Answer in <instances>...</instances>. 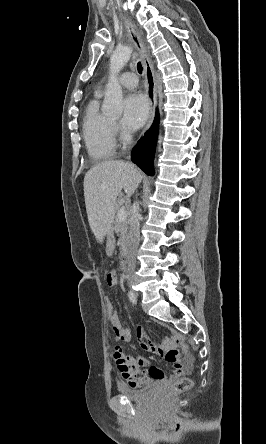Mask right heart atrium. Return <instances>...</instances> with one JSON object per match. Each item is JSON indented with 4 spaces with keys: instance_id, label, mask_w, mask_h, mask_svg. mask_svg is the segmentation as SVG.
<instances>
[{
    "instance_id": "obj_1",
    "label": "right heart atrium",
    "mask_w": 266,
    "mask_h": 444,
    "mask_svg": "<svg viewBox=\"0 0 266 444\" xmlns=\"http://www.w3.org/2000/svg\"><path fill=\"white\" fill-rule=\"evenodd\" d=\"M113 127H114V131L115 132H117V133L120 132V129H119L118 125L114 124Z\"/></svg>"
}]
</instances>
